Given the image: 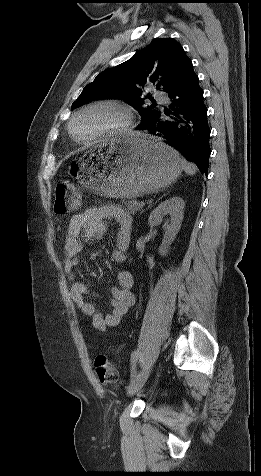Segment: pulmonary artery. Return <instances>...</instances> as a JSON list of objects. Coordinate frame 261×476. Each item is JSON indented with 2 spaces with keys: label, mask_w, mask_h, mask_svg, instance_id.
<instances>
[{
  "label": "pulmonary artery",
  "mask_w": 261,
  "mask_h": 476,
  "mask_svg": "<svg viewBox=\"0 0 261 476\" xmlns=\"http://www.w3.org/2000/svg\"><path fill=\"white\" fill-rule=\"evenodd\" d=\"M155 98L157 101H159L160 103H167L168 102V99L167 97H165L162 93L160 92H156L155 93Z\"/></svg>",
  "instance_id": "1"
}]
</instances>
